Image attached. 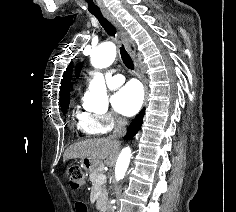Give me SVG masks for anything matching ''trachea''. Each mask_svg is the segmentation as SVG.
Masks as SVG:
<instances>
[{"mask_svg":"<svg viewBox=\"0 0 236 212\" xmlns=\"http://www.w3.org/2000/svg\"><path fill=\"white\" fill-rule=\"evenodd\" d=\"M100 22L101 26L104 28V30L107 32L109 36L114 37L116 33V28L115 26L108 20L106 19L101 12H91ZM120 54H121V59L124 63V65L133 70L134 69V64L133 60L130 57V55L127 53L125 50L124 46L122 45L120 47Z\"/></svg>","mask_w":236,"mask_h":212,"instance_id":"1","label":"trachea"}]
</instances>
